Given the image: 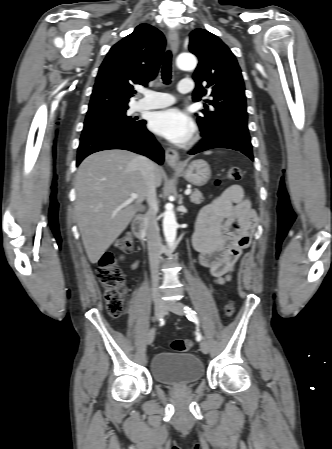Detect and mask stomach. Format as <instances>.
I'll list each match as a JSON object with an SVG mask.
<instances>
[{"mask_svg": "<svg viewBox=\"0 0 332 449\" xmlns=\"http://www.w3.org/2000/svg\"><path fill=\"white\" fill-rule=\"evenodd\" d=\"M175 171L182 175L189 183L198 187L205 185L211 177L210 167L202 159L193 160L189 164L185 163L182 168L175 169Z\"/></svg>", "mask_w": 332, "mask_h": 449, "instance_id": "1", "label": "stomach"}]
</instances>
